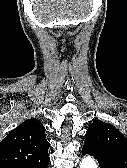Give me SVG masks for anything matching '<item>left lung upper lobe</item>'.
I'll use <instances>...</instances> for the list:
<instances>
[{
    "label": "left lung upper lobe",
    "instance_id": "5c2ea615",
    "mask_svg": "<svg viewBox=\"0 0 127 168\" xmlns=\"http://www.w3.org/2000/svg\"><path fill=\"white\" fill-rule=\"evenodd\" d=\"M85 147L105 151L119 168H127V139L113 125L96 120L85 134Z\"/></svg>",
    "mask_w": 127,
    "mask_h": 168
}]
</instances>
